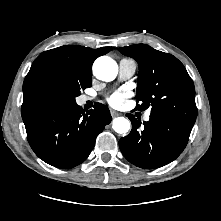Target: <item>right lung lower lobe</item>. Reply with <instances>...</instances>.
Masks as SVG:
<instances>
[{"label": "right lung lower lobe", "mask_w": 221, "mask_h": 221, "mask_svg": "<svg viewBox=\"0 0 221 221\" xmlns=\"http://www.w3.org/2000/svg\"><path fill=\"white\" fill-rule=\"evenodd\" d=\"M111 119L109 109L100 103L86 113L76 103H56L23 116L32 150L44 162L62 169L86 160Z\"/></svg>", "instance_id": "98d812e1"}]
</instances>
